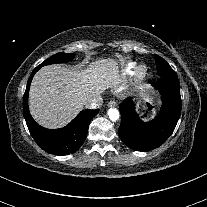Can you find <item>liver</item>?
Returning <instances> with one entry per match:
<instances>
[{
  "instance_id": "1",
  "label": "liver",
  "mask_w": 207,
  "mask_h": 207,
  "mask_svg": "<svg viewBox=\"0 0 207 207\" xmlns=\"http://www.w3.org/2000/svg\"><path fill=\"white\" fill-rule=\"evenodd\" d=\"M121 81L114 59L97 60L84 70L60 64L44 66L32 80L29 110L41 126L60 128L77 116L91 98Z\"/></svg>"
}]
</instances>
